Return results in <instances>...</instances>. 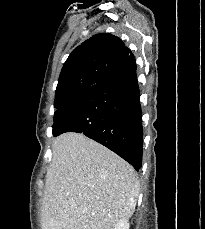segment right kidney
Returning a JSON list of instances; mask_svg holds the SVG:
<instances>
[{"instance_id": "1", "label": "right kidney", "mask_w": 205, "mask_h": 229, "mask_svg": "<svg viewBox=\"0 0 205 229\" xmlns=\"http://www.w3.org/2000/svg\"><path fill=\"white\" fill-rule=\"evenodd\" d=\"M114 229H129L128 220H121L117 222L114 226Z\"/></svg>"}]
</instances>
